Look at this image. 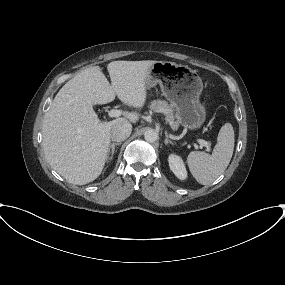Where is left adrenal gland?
<instances>
[{"mask_svg":"<svg viewBox=\"0 0 285 285\" xmlns=\"http://www.w3.org/2000/svg\"><path fill=\"white\" fill-rule=\"evenodd\" d=\"M165 137H166L164 141L165 145H168V144L174 145V143L168 138L167 132H165Z\"/></svg>","mask_w":285,"mask_h":285,"instance_id":"1","label":"left adrenal gland"}]
</instances>
